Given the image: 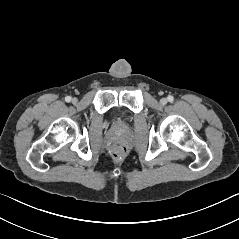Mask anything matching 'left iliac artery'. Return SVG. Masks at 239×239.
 I'll return each mask as SVG.
<instances>
[{"label":"left iliac artery","instance_id":"44dca946","mask_svg":"<svg viewBox=\"0 0 239 239\" xmlns=\"http://www.w3.org/2000/svg\"><path fill=\"white\" fill-rule=\"evenodd\" d=\"M167 99H168V101H169V102H173V101H174V97H173V96H171V95H170V96H168V97H167Z\"/></svg>","mask_w":239,"mask_h":239}]
</instances>
